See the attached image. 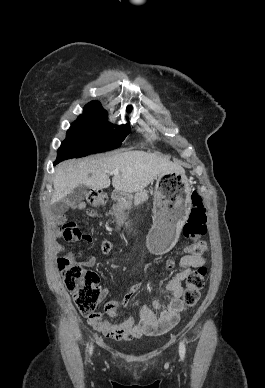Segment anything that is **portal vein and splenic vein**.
Masks as SVG:
<instances>
[{
	"mask_svg": "<svg viewBox=\"0 0 265 388\" xmlns=\"http://www.w3.org/2000/svg\"><path fill=\"white\" fill-rule=\"evenodd\" d=\"M112 174H114V176H118L119 170H113V172H110V176H112Z\"/></svg>",
	"mask_w": 265,
	"mask_h": 388,
	"instance_id": "obj_1",
	"label": "portal vein and splenic vein"
}]
</instances>
